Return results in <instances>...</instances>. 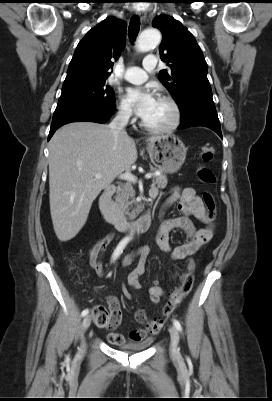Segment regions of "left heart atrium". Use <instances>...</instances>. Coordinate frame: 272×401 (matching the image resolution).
<instances>
[{"mask_svg":"<svg viewBox=\"0 0 272 401\" xmlns=\"http://www.w3.org/2000/svg\"><path fill=\"white\" fill-rule=\"evenodd\" d=\"M123 99L143 119L153 107L156 96L151 87L145 86L128 88Z\"/></svg>","mask_w":272,"mask_h":401,"instance_id":"1","label":"left heart atrium"}]
</instances>
